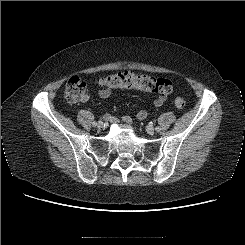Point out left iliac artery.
<instances>
[{
  "instance_id": "obj_1",
  "label": "left iliac artery",
  "mask_w": 245,
  "mask_h": 245,
  "mask_svg": "<svg viewBox=\"0 0 245 245\" xmlns=\"http://www.w3.org/2000/svg\"><path fill=\"white\" fill-rule=\"evenodd\" d=\"M151 124H153V122H151ZM156 130H157V131H160V128H159V127H157V128H156Z\"/></svg>"
}]
</instances>
